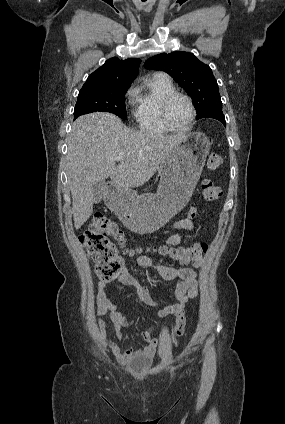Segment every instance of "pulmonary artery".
<instances>
[{
    "mask_svg": "<svg viewBox=\"0 0 285 424\" xmlns=\"http://www.w3.org/2000/svg\"><path fill=\"white\" fill-rule=\"evenodd\" d=\"M159 75L163 76L164 78L169 79V77L167 75H165V74H159Z\"/></svg>",
    "mask_w": 285,
    "mask_h": 424,
    "instance_id": "pulmonary-artery-1",
    "label": "pulmonary artery"
}]
</instances>
